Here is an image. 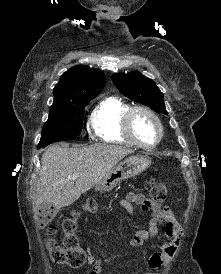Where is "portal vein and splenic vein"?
Masks as SVG:
<instances>
[{"label":"portal vein and splenic vein","mask_w":221,"mask_h":274,"mask_svg":"<svg viewBox=\"0 0 221 274\" xmlns=\"http://www.w3.org/2000/svg\"><path fill=\"white\" fill-rule=\"evenodd\" d=\"M78 177H79V174H74L72 178H73V179H76V178H78Z\"/></svg>","instance_id":"18ae733b"}]
</instances>
